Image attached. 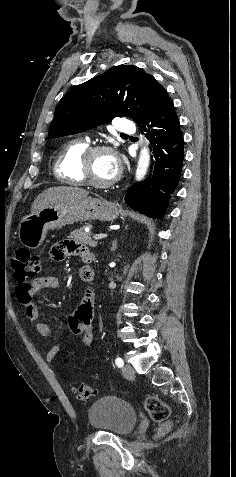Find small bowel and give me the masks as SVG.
Wrapping results in <instances>:
<instances>
[{"label": "small bowel", "instance_id": "obj_1", "mask_svg": "<svg viewBox=\"0 0 236 477\" xmlns=\"http://www.w3.org/2000/svg\"><path fill=\"white\" fill-rule=\"evenodd\" d=\"M80 256L85 263L92 261V254L84 245L71 240L60 241L55 244L51 251V256L55 261H62L69 256ZM81 278L86 282H92L94 272L85 265L80 270ZM62 285L61 280L55 276H43L37 278L32 283V289L28 292L17 295L19 302L24 306L28 318L35 322L39 334L45 339H52V329L46 322L40 321L43 313V306L37 303L34 298L46 288L58 289ZM95 318V297L92 289L85 292L84 298L75 313L69 320V328L72 333L82 336V343L88 347L92 344L94 336ZM60 353V346L54 344L47 353V360L54 361Z\"/></svg>", "mask_w": 236, "mask_h": 477}]
</instances>
